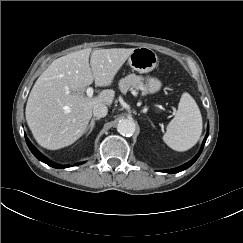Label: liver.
<instances>
[{
  "label": "liver",
  "instance_id": "liver-1",
  "mask_svg": "<svg viewBox=\"0 0 243 243\" xmlns=\"http://www.w3.org/2000/svg\"><path fill=\"white\" fill-rule=\"evenodd\" d=\"M133 51L86 48L54 60L27 100L26 121L37 143L56 150L78 140L86 132L94 106H110L115 96L113 90L106 89L89 98L84 94L86 87L93 81L99 87L110 86Z\"/></svg>",
  "mask_w": 243,
  "mask_h": 243
}]
</instances>
